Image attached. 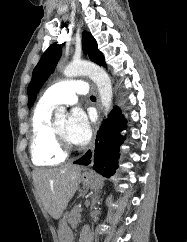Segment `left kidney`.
Listing matches in <instances>:
<instances>
[{"instance_id": "left-kidney-1", "label": "left kidney", "mask_w": 187, "mask_h": 242, "mask_svg": "<svg viewBox=\"0 0 187 242\" xmlns=\"http://www.w3.org/2000/svg\"><path fill=\"white\" fill-rule=\"evenodd\" d=\"M111 201V196L110 197H108V199H107V202H110Z\"/></svg>"}]
</instances>
